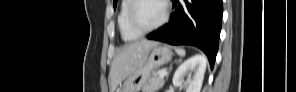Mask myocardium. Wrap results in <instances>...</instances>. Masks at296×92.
<instances>
[{"label": "myocardium", "instance_id": "obj_1", "mask_svg": "<svg viewBox=\"0 0 296 92\" xmlns=\"http://www.w3.org/2000/svg\"><path fill=\"white\" fill-rule=\"evenodd\" d=\"M144 0H134L132 1V4L129 8V12H128V23L129 26L137 33L144 35L147 33H150L158 28H160L162 25L165 24V22L168 19V4L166 1H159L162 4L163 7V14L161 19L153 26L149 27V28H143L141 27L135 18V13L136 10L138 8V6L140 5L141 2H143Z\"/></svg>", "mask_w": 296, "mask_h": 92}]
</instances>
